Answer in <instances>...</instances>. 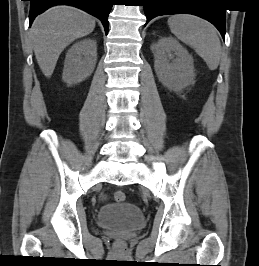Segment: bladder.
Segmentation results:
<instances>
[{
  "label": "bladder",
  "mask_w": 259,
  "mask_h": 266,
  "mask_svg": "<svg viewBox=\"0 0 259 266\" xmlns=\"http://www.w3.org/2000/svg\"><path fill=\"white\" fill-rule=\"evenodd\" d=\"M97 223L102 228L133 231L144 226L145 217L137 205L121 202L103 206L97 214Z\"/></svg>",
  "instance_id": "31cf9c89"
}]
</instances>
